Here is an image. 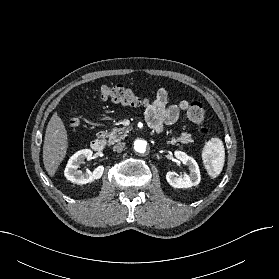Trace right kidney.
I'll use <instances>...</instances> for the list:
<instances>
[{
    "label": "right kidney",
    "mask_w": 279,
    "mask_h": 279,
    "mask_svg": "<svg viewBox=\"0 0 279 279\" xmlns=\"http://www.w3.org/2000/svg\"><path fill=\"white\" fill-rule=\"evenodd\" d=\"M92 155L93 152L90 149H83L72 155L68 160L64 171V175L67 180L82 185L92 183L95 180L100 179L104 172L103 165L98 166L94 169V171L87 169L85 172H82L81 170H78L80 164L83 163L84 160L92 159Z\"/></svg>",
    "instance_id": "1"
}]
</instances>
